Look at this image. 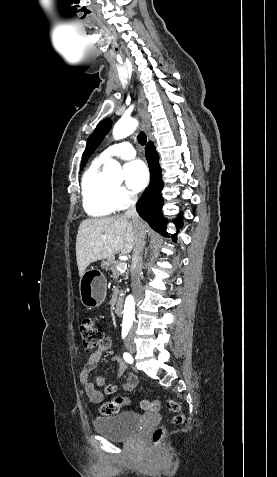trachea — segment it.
<instances>
[{
    "instance_id": "trachea-1",
    "label": "trachea",
    "mask_w": 277,
    "mask_h": 477,
    "mask_svg": "<svg viewBox=\"0 0 277 477\" xmlns=\"http://www.w3.org/2000/svg\"><path fill=\"white\" fill-rule=\"evenodd\" d=\"M138 142L140 145H145L146 144V135L144 132H140L138 135Z\"/></svg>"
}]
</instances>
